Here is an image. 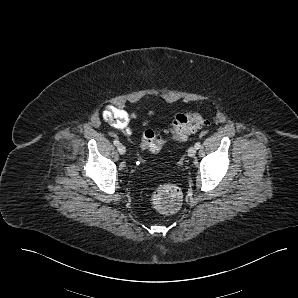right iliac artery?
Wrapping results in <instances>:
<instances>
[{
	"instance_id": "1",
	"label": "right iliac artery",
	"mask_w": 298,
	"mask_h": 298,
	"mask_svg": "<svg viewBox=\"0 0 298 298\" xmlns=\"http://www.w3.org/2000/svg\"><path fill=\"white\" fill-rule=\"evenodd\" d=\"M113 143H114L115 146H119L120 145V142L118 140H114Z\"/></svg>"
}]
</instances>
